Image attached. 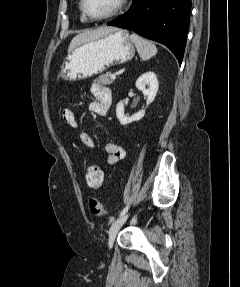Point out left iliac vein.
<instances>
[{
    "label": "left iliac vein",
    "instance_id": "left-iliac-vein-1",
    "mask_svg": "<svg viewBox=\"0 0 240 287\" xmlns=\"http://www.w3.org/2000/svg\"><path fill=\"white\" fill-rule=\"evenodd\" d=\"M127 219H128V214H124L121 217H119L116 221H114L113 224L111 225L109 229V239H108L109 248L113 246L115 237L119 229L126 222Z\"/></svg>",
    "mask_w": 240,
    "mask_h": 287
}]
</instances>
